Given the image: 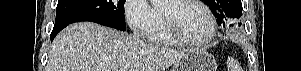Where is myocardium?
Masks as SVG:
<instances>
[{"instance_id": "f54148a6", "label": "myocardium", "mask_w": 301, "mask_h": 71, "mask_svg": "<svg viewBox=\"0 0 301 71\" xmlns=\"http://www.w3.org/2000/svg\"><path fill=\"white\" fill-rule=\"evenodd\" d=\"M172 2L176 3H192L195 4L199 7H201L206 15L209 18L210 21V32L206 38L203 40H190L185 38L179 29L176 27L174 22L171 20V18L161 9V13L163 16L164 24L166 27V30L168 34L171 36V38L178 44L184 45V46H190V47H203L208 45L212 40L215 38L216 33H217V21L211 10L202 2L198 0H170Z\"/></svg>"}]
</instances>
